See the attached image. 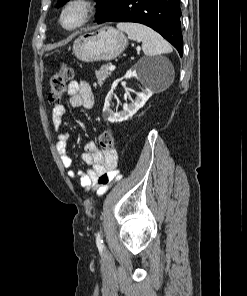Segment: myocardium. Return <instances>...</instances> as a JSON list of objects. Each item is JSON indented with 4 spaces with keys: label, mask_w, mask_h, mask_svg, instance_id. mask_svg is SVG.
<instances>
[{
    "label": "myocardium",
    "mask_w": 247,
    "mask_h": 296,
    "mask_svg": "<svg viewBox=\"0 0 247 296\" xmlns=\"http://www.w3.org/2000/svg\"><path fill=\"white\" fill-rule=\"evenodd\" d=\"M76 12L78 17L73 24L66 23L70 12ZM94 11L92 0H68L62 7L59 15V25L66 31H74L83 27L91 18Z\"/></svg>",
    "instance_id": "f54148a6"
}]
</instances>
